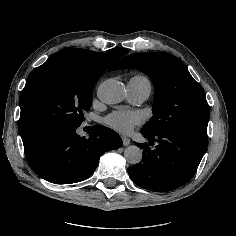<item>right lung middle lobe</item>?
I'll list each match as a JSON object with an SVG mask.
<instances>
[{"label": "right lung middle lobe", "mask_w": 236, "mask_h": 236, "mask_svg": "<svg viewBox=\"0 0 236 236\" xmlns=\"http://www.w3.org/2000/svg\"><path fill=\"white\" fill-rule=\"evenodd\" d=\"M103 72L66 53L54 54L35 68L20 95L19 131L23 145L55 128L79 127Z\"/></svg>", "instance_id": "dd1d6c3e"}]
</instances>
